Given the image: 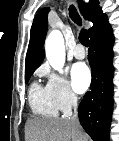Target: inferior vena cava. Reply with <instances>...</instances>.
I'll return each mask as SVG.
<instances>
[{
    "instance_id": "inferior-vena-cava-1",
    "label": "inferior vena cava",
    "mask_w": 119,
    "mask_h": 141,
    "mask_svg": "<svg viewBox=\"0 0 119 141\" xmlns=\"http://www.w3.org/2000/svg\"><path fill=\"white\" fill-rule=\"evenodd\" d=\"M71 104L73 106L74 109V114L73 116L70 118L71 122L77 127L80 128V122H79V118H78V104H77V97L75 94H71Z\"/></svg>"
}]
</instances>
